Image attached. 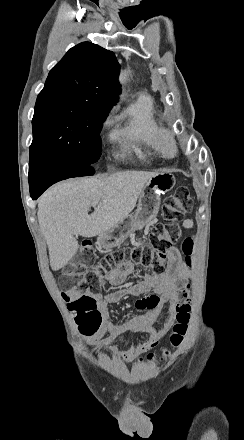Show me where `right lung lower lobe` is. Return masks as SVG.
Returning <instances> with one entry per match:
<instances>
[{
	"mask_svg": "<svg viewBox=\"0 0 244 440\" xmlns=\"http://www.w3.org/2000/svg\"><path fill=\"white\" fill-rule=\"evenodd\" d=\"M95 173L93 165H84L66 158L39 156L30 159V195L36 200L52 184L73 177Z\"/></svg>",
	"mask_w": 244,
	"mask_h": 440,
	"instance_id": "98d812e1",
	"label": "right lung lower lobe"
}]
</instances>
